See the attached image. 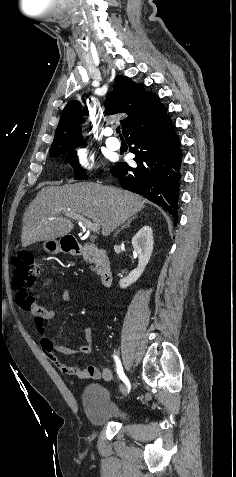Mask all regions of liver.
Returning <instances> with one entry per match:
<instances>
[{"label":"liver","instance_id":"1","mask_svg":"<svg viewBox=\"0 0 236 477\" xmlns=\"http://www.w3.org/2000/svg\"><path fill=\"white\" fill-rule=\"evenodd\" d=\"M145 200L113 186L83 182L42 188L22 219L21 242L27 247L68 235L74 224L61 214L72 212L97 223L103 236L140 212Z\"/></svg>","mask_w":236,"mask_h":477}]
</instances>
